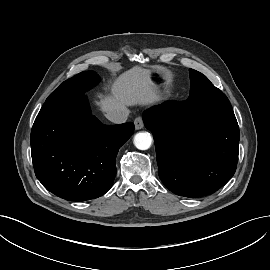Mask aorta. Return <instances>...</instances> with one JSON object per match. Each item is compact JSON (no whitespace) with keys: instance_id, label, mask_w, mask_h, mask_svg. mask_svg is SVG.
Masks as SVG:
<instances>
[{"instance_id":"obj_1","label":"aorta","mask_w":270,"mask_h":270,"mask_svg":"<svg viewBox=\"0 0 270 270\" xmlns=\"http://www.w3.org/2000/svg\"><path fill=\"white\" fill-rule=\"evenodd\" d=\"M152 144V137L148 132H139L134 136V145L139 150H147Z\"/></svg>"}]
</instances>
